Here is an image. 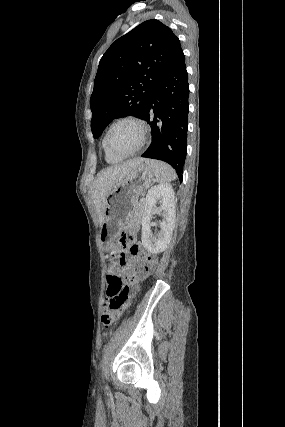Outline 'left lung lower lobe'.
Instances as JSON below:
<instances>
[{
  "label": "left lung lower lobe",
  "instance_id": "1",
  "mask_svg": "<svg viewBox=\"0 0 285 427\" xmlns=\"http://www.w3.org/2000/svg\"><path fill=\"white\" fill-rule=\"evenodd\" d=\"M188 97V73L181 51L157 84L143 113L142 119L151 125L152 143L141 155L167 162L176 170L180 181L187 152Z\"/></svg>",
  "mask_w": 285,
  "mask_h": 427
}]
</instances>
